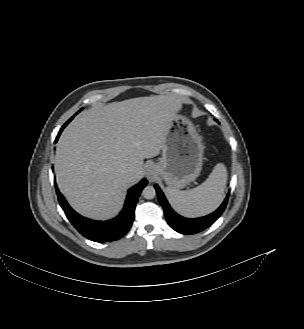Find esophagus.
Segmentation results:
<instances>
[{"mask_svg":"<svg viewBox=\"0 0 304 329\" xmlns=\"http://www.w3.org/2000/svg\"><path fill=\"white\" fill-rule=\"evenodd\" d=\"M147 177H148L149 179H152V178H153V173L148 172V173H147Z\"/></svg>","mask_w":304,"mask_h":329,"instance_id":"1","label":"esophagus"}]
</instances>
